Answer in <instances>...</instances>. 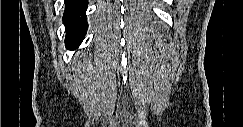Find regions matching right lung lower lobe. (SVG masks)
<instances>
[{
    "label": "right lung lower lobe",
    "mask_w": 243,
    "mask_h": 127,
    "mask_svg": "<svg viewBox=\"0 0 243 127\" xmlns=\"http://www.w3.org/2000/svg\"><path fill=\"white\" fill-rule=\"evenodd\" d=\"M87 6L88 0H65L63 23L66 28L65 45L69 50H76L85 37Z\"/></svg>",
    "instance_id": "obj_1"
}]
</instances>
